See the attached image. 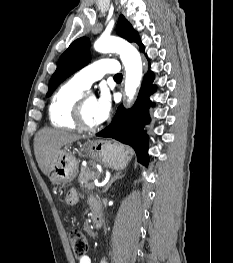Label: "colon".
I'll return each mask as SVG.
<instances>
[{"mask_svg": "<svg viewBox=\"0 0 233 263\" xmlns=\"http://www.w3.org/2000/svg\"><path fill=\"white\" fill-rule=\"evenodd\" d=\"M69 239L74 257L77 259L85 257L88 251V241L86 236L79 230H70Z\"/></svg>", "mask_w": 233, "mask_h": 263, "instance_id": "obj_1", "label": "colon"}]
</instances>
